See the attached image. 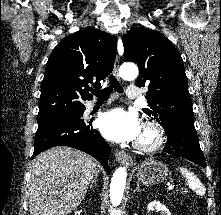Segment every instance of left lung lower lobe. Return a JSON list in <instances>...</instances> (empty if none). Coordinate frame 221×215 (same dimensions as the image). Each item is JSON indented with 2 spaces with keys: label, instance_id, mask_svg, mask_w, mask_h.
<instances>
[{
  "label": "left lung lower lobe",
  "instance_id": "0a47b994",
  "mask_svg": "<svg viewBox=\"0 0 221 215\" xmlns=\"http://www.w3.org/2000/svg\"><path fill=\"white\" fill-rule=\"evenodd\" d=\"M168 136L162 153L155 156L172 154L186 158L205 167V158L201 151L194 124H175L163 126Z\"/></svg>",
  "mask_w": 221,
  "mask_h": 215
}]
</instances>
